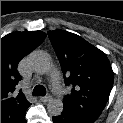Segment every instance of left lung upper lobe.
I'll return each mask as SVG.
<instances>
[{"label": "left lung upper lobe", "mask_w": 123, "mask_h": 123, "mask_svg": "<svg viewBox=\"0 0 123 123\" xmlns=\"http://www.w3.org/2000/svg\"><path fill=\"white\" fill-rule=\"evenodd\" d=\"M48 36L60 61L65 85L73 87L64 98V110L93 123L104 109L113 85L109 59L76 34L54 30Z\"/></svg>", "instance_id": "left-lung-upper-lobe-1"}]
</instances>
